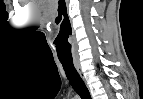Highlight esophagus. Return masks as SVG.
Instances as JSON below:
<instances>
[{
	"instance_id": "34e87169",
	"label": "esophagus",
	"mask_w": 143,
	"mask_h": 99,
	"mask_svg": "<svg viewBox=\"0 0 143 99\" xmlns=\"http://www.w3.org/2000/svg\"><path fill=\"white\" fill-rule=\"evenodd\" d=\"M74 65H75V67H76L78 73L80 74V76H81L82 78H84V77L82 76V71H81V67H80L79 62L75 61V62H74Z\"/></svg>"
}]
</instances>
